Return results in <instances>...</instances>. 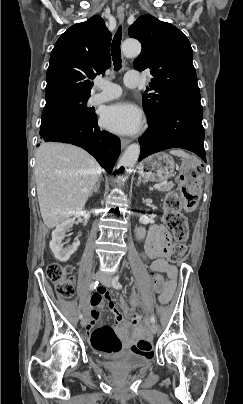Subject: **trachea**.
<instances>
[{
    "mask_svg": "<svg viewBox=\"0 0 243 404\" xmlns=\"http://www.w3.org/2000/svg\"><path fill=\"white\" fill-rule=\"evenodd\" d=\"M121 39H122V27H119L114 35L112 42V60L114 64V70L118 71L121 68Z\"/></svg>",
    "mask_w": 243,
    "mask_h": 404,
    "instance_id": "trachea-1",
    "label": "trachea"
}]
</instances>
